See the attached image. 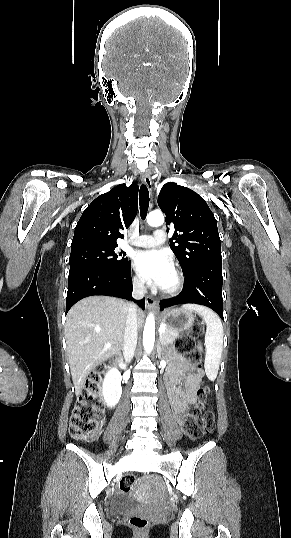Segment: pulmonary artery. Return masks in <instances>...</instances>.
I'll return each instance as SVG.
<instances>
[{
  "mask_svg": "<svg viewBox=\"0 0 291 538\" xmlns=\"http://www.w3.org/2000/svg\"><path fill=\"white\" fill-rule=\"evenodd\" d=\"M165 240L166 232L163 229H158L154 232V235H141L129 243L142 248H152L163 244Z\"/></svg>",
  "mask_w": 291,
  "mask_h": 538,
  "instance_id": "1",
  "label": "pulmonary artery"
}]
</instances>
